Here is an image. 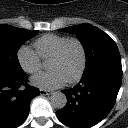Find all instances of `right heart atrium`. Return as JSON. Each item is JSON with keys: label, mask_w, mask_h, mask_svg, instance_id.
Returning a JSON list of instances; mask_svg holds the SVG:
<instances>
[{"label": "right heart atrium", "mask_w": 128, "mask_h": 128, "mask_svg": "<svg viewBox=\"0 0 128 128\" xmlns=\"http://www.w3.org/2000/svg\"><path fill=\"white\" fill-rule=\"evenodd\" d=\"M20 67L29 74L37 73L42 66L41 58L38 53L30 46L22 45L16 54Z\"/></svg>", "instance_id": "1"}]
</instances>
